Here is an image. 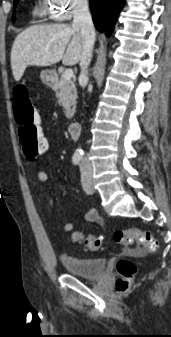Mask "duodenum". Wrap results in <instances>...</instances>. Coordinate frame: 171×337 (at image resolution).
Returning <instances> with one entry per match:
<instances>
[{
    "instance_id": "duodenum-1",
    "label": "duodenum",
    "mask_w": 171,
    "mask_h": 337,
    "mask_svg": "<svg viewBox=\"0 0 171 337\" xmlns=\"http://www.w3.org/2000/svg\"><path fill=\"white\" fill-rule=\"evenodd\" d=\"M80 130H81V124L78 122H73L69 124L68 126V133L73 138H77L79 136Z\"/></svg>"
}]
</instances>
